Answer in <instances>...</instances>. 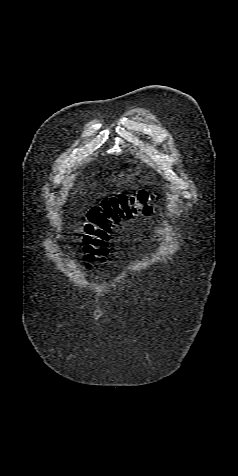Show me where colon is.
<instances>
[{
  "mask_svg": "<svg viewBox=\"0 0 238 476\" xmlns=\"http://www.w3.org/2000/svg\"><path fill=\"white\" fill-rule=\"evenodd\" d=\"M155 195L141 189L102 199L87 212L84 225L83 251L87 264L104 261L109 254L110 233L124 219L150 215L154 211Z\"/></svg>",
  "mask_w": 238,
  "mask_h": 476,
  "instance_id": "1",
  "label": "colon"
}]
</instances>
